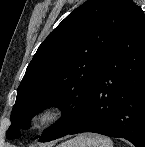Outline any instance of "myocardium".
Here are the masks:
<instances>
[{"label": "myocardium", "instance_id": "obj_1", "mask_svg": "<svg viewBox=\"0 0 145 147\" xmlns=\"http://www.w3.org/2000/svg\"><path fill=\"white\" fill-rule=\"evenodd\" d=\"M66 117L65 107L58 102H49L34 109L29 115L33 129L43 130L59 125Z\"/></svg>", "mask_w": 145, "mask_h": 147}]
</instances>
